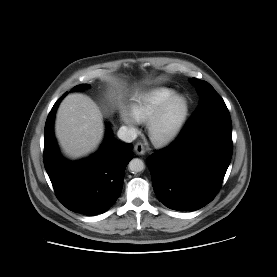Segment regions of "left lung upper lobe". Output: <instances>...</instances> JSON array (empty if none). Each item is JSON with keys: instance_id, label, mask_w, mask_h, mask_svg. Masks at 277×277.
Returning <instances> with one entry per match:
<instances>
[{"instance_id": "1", "label": "left lung upper lobe", "mask_w": 277, "mask_h": 277, "mask_svg": "<svg viewBox=\"0 0 277 277\" xmlns=\"http://www.w3.org/2000/svg\"><path fill=\"white\" fill-rule=\"evenodd\" d=\"M192 82L200 94L199 104L191 118L215 108L226 107L224 100L206 81L192 78Z\"/></svg>"}]
</instances>
